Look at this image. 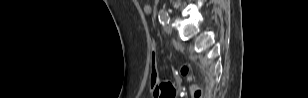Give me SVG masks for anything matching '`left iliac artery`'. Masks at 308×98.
Returning a JSON list of instances; mask_svg holds the SVG:
<instances>
[{
    "mask_svg": "<svg viewBox=\"0 0 308 98\" xmlns=\"http://www.w3.org/2000/svg\"><path fill=\"white\" fill-rule=\"evenodd\" d=\"M159 21L162 25L168 24L170 21L169 14L166 10L161 9L158 14Z\"/></svg>",
    "mask_w": 308,
    "mask_h": 98,
    "instance_id": "left-iliac-artery-1",
    "label": "left iliac artery"
}]
</instances>
